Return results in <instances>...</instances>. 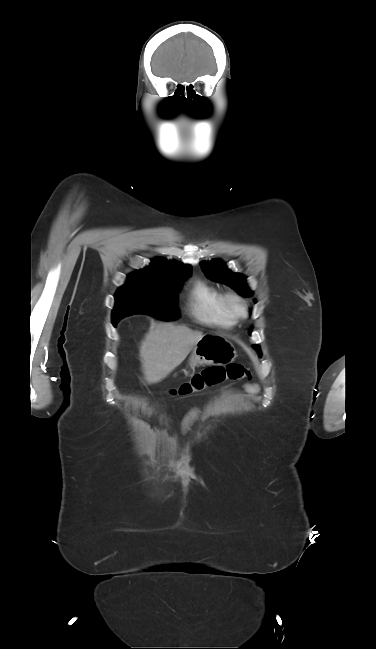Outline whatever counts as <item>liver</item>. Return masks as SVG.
<instances>
[{
	"label": "liver",
	"instance_id": "6515ba94",
	"mask_svg": "<svg viewBox=\"0 0 376 649\" xmlns=\"http://www.w3.org/2000/svg\"><path fill=\"white\" fill-rule=\"evenodd\" d=\"M203 336L202 332L186 326L171 323L156 325L146 334L140 346L144 380L148 384H155L166 378Z\"/></svg>",
	"mask_w": 376,
	"mask_h": 649
}]
</instances>
